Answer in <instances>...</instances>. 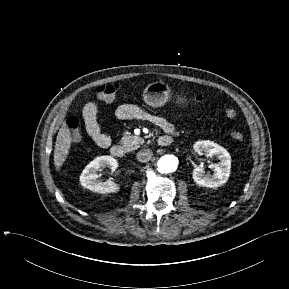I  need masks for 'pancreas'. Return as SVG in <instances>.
<instances>
[{
  "instance_id": "1",
  "label": "pancreas",
  "mask_w": 289,
  "mask_h": 289,
  "mask_svg": "<svg viewBox=\"0 0 289 289\" xmlns=\"http://www.w3.org/2000/svg\"><path fill=\"white\" fill-rule=\"evenodd\" d=\"M120 142L127 151H132L137 149L141 144H143L144 139L138 136H133L130 134V132L126 131L124 132Z\"/></svg>"
}]
</instances>
